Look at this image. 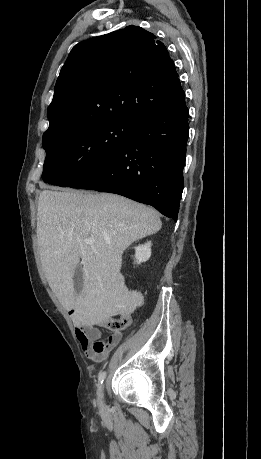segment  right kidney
<instances>
[{"label":"right kidney","mask_w":261,"mask_h":459,"mask_svg":"<svg viewBox=\"0 0 261 459\" xmlns=\"http://www.w3.org/2000/svg\"><path fill=\"white\" fill-rule=\"evenodd\" d=\"M151 256V242H147L144 245L135 247V259L136 263L140 264L147 261Z\"/></svg>","instance_id":"obj_1"}]
</instances>
